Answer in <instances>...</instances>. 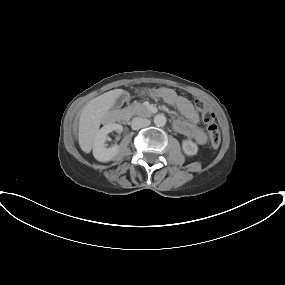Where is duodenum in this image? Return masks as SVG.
<instances>
[{
  "instance_id": "410a0bca",
  "label": "duodenum",
  "mask_w": 285,
  "mask_h": 285,
  "mask_svg": "<svg viewBox=\"0 0 285 285\" xmlns=\"http://www.w3.org/2000/svg\"><path fill=\"white\" fill-rule=\"evenodd\" d=\"M135 112L140 116L148 117L155 113V109L152 107L140 106L135 109ZM121 115L122 113H118L116 119L122 120Z\"/></svg>"
}]
</instances>
